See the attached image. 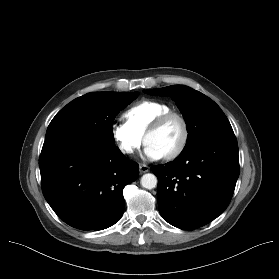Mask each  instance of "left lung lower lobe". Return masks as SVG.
Returning a JSON list of instances; mask_svg holds the SVG:
<instances>
[{
    "instance_id": "0a47b994",
    "label": "left lung lower lobe",
    "mask_w": 279,
    "mask_h": 279,
    "mask_svg": "<svg viewBox=\"0 0 279 279\" xmlns=\"http://www.w3.org/2000/svg\"><path fill=\"white\" fill-rule=\"evenodd\" d=\"M158 178L159 212L169 224L193 230L229 205L239 176L235 137H217L182 151L173 162L151 168Z\"/></svg>"
}]
</instances>
